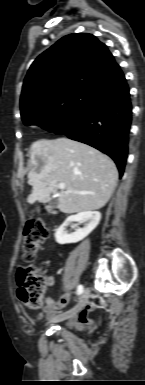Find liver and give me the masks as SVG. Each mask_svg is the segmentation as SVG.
<instances>
[{
	"label": "liver",
	"instance_id": "obj_1",
	"mask_svg": "<svg viewBox=\"0 0 145 385\" xmlns=\"http://www.w3.org/2000/svg\"><path fill=\"white\" fill-rule=\"evenodd\" d=\"M30 166L28 183L33 191L28 203L49 202L51 192L59 189V183H64L65 191L58 198V208L67 214L104 207L118 180L116 165L108 156L64 137L34 142Z\"/></svg>",
	"mask_w": 145,
	"mask_h": 385
}]
</instances>
